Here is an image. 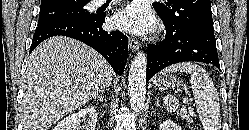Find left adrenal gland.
Listing matches in <instances>:
<instances>
[{
	"label": "left adrenal gland",
	"mask_w": 249,
	"mask_h": 130,
	"mask_svg": "<svg viewBox=\"0 0 249 130\" xmlns=\"http://www.w3.org/2000/svg\"><path fill=\"white\" fill-rule=\"evenodd\" d=\"M156 106H160V104H159V98H157Z\"/></svg>",
	"instance_id": "a2214340"
}]
</instances>
